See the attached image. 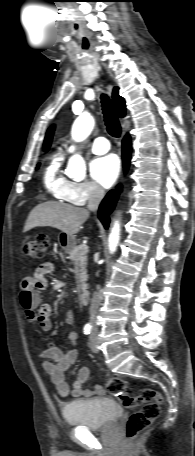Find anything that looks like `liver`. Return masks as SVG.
<instances>
[{
  "instance_id": "6515ba94",
  "label": "liver",
  "mask_w": 195,
  "mask_h": 456,
  "mask_svg": "<svg viewBox=\"0 0 195 456\" xmlns=\"http://www.w3.org/2000/svg\"><path fill=\"white\" fill-rule=\"evenodd\" d=\"M89 211L85 208L48 201L38 204L30 212L24 231L35 227H53L67 235L79 232L81 225L88 219Z\"/></svg>"
}]
</instances>
